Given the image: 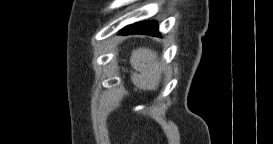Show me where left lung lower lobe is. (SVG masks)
Here are the masks:
<instances>
[{"mask_svg": "<svg viewBox=\"0 0 273 144\" xmlns=\"http://www.w3.org/2000/svg\"><path fill=\"white\" fill-rule=\"evenodd\" d=\"M120 34H148L152 36H159L158 25L155 21L140 22L132 26H127L120 31Z\"/></svg>", "mask_w": 273, "mask_h": 144, "instance_id": "left-lung-lower-lobe-1", "label": "left lung lower lobe"}]
</instances>
